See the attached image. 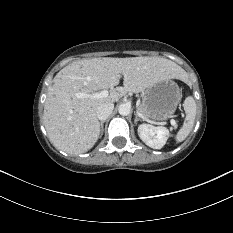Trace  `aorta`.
<instances>
[{
  "instance_id": "762f6f07",
  "label": "aorta",
  "mask_w": 233,
  "mask_h": 233,
  "mask_svg": "<svg viewBox=\"0 0 233 233\" xmlns=\"http://www.w3.org/2000/svg\"><path fill=\"white\" fill-rule=\"evenodd\" d=\"M118 112L122 116H127L130 113V105L128 104H121L118 108Z\"/></svg>"
}]
</instances>
